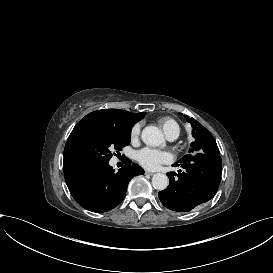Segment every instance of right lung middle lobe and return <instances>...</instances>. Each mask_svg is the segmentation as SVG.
<instances>
[{"label": "right lung middle lobe", "mask_w": 273, "mask_h": 273, "mask_svg": "<svg viewBox=\"0 0 273 273\" xmlns=\"http://www.w3.org/2000/svg\"><path fill=\"white\" fill-rule=\"evenodd\" d=\"M131 130L92 121L76 124L64 149L63 167L72 170L88 164L109 162L112 150L130 143Z\"/></svg>", "instance_id": "1"}]
</instances>
